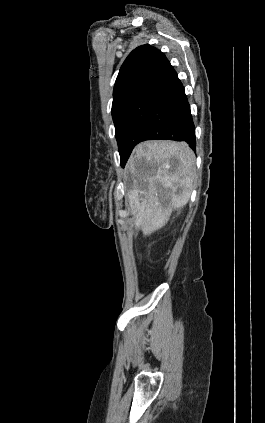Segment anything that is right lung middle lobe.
<instances>
[{"label": "right lung middle lobe", "mask_w": 265, "mask_h": 423, "mask_svg": "<svg viewBox=\"0 0 265 423\" xmlns=\"http://www.w3.org/2000/svg\"><path fill=\"white\" fill-rule=\"evenodd\" d=\"M146 93H135L126 96L112 104V117L115 125V136L118 142L120 163L126 161L127 156L122 146V136L134 113L146 97Z\"/></svg>", "instance_id": "1"}]
</instances>
